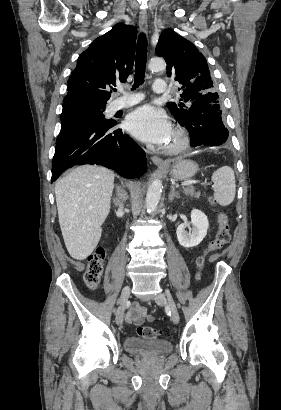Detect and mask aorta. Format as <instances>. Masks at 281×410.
I'll use <instances>...</instances> for the list:
<instances>
[{"instance_id": "762f6f07", "label": "aorta", "mask_w": 281, "mask_h": 410, "mask_svg": "<svg viewBox=\"0 0 281 410\" xmlns=\"http://www.w3.org/2000/svg\"><path fill=\"white\" fill-rule=\"evenodd\" d=\"M149 68L152 71H163L166 68V63L163 59H151ZM162 188V181L160 179H156L150 184L146 194V209L149 213L155 211L161 198Z\"/></svg>"}]
</instances>
